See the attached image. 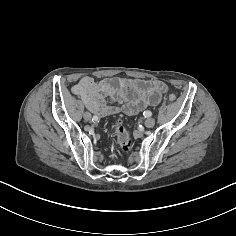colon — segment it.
<instances>
[{"instance_id":"5ec220e1","label":"colon","mask_w":236,"mask_h":236,"mask_svg":"<svg viewBox=\"0 0 236 236\" xmlns=\"http://www.w3.org/2000/svg\"><path fill=\"white\" fill-rule=\"evenodd\" d=\"M166 99L170 103H175L178 99V96L175 93H169ZM113 133L119 151H121L122 153H129L132 148V140L122 122L117 121L114 124Z\"/></svg>"}]
</instances>
